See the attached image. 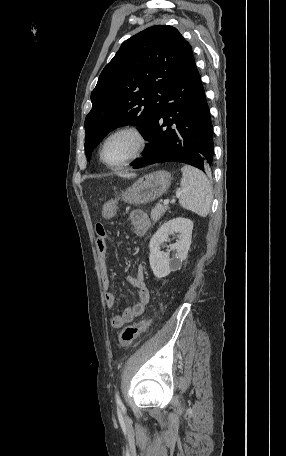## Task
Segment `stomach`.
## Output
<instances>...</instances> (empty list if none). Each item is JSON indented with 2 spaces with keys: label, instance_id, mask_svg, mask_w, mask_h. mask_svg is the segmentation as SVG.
Wrapping results in <instances>:
<instances>
[{
  "label": "stomach",
  "instance_id": "1",
  "mask_svg": "<svg viewBox=\"0 0 286 456\" xmlns=\"http://www.w3.org/2000/svg\"><path fill=\"white\" fill-rule=\"evenodd\" d=\"M171 174L161 170L149 173L121 194L122 201L130 204H147L158 199L169 188Z\"/></svg>",
  "mask_w": 286,
  "mask_h": 456
}]
</instances>
